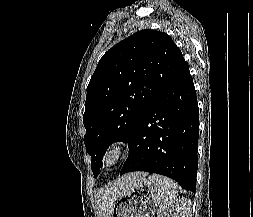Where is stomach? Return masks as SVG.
<instances>
[{
    "instance_id": "stomach-1",
    "label": "stomach",
    "mask_w": 253,
    "mask_h": 217,
    "mask_svg": "<svg viewBox=\"0 0 253 217\" xmlns=\"http://www.w3.org/2000/svg\"><path fill=\"white\" fill-rule=\"evenodd\" d=\"M157 204L155 185L142 177L114 202L110 217H153Z\"/></svg>"
}]
</instances>
